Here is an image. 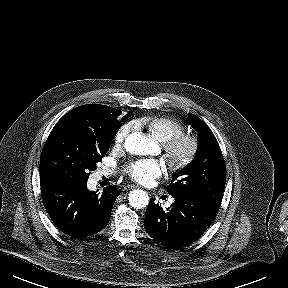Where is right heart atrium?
Returning a JSON list of instances; mask_svg holds the SVG:
<instances>
[{
	"instance_id": "1",
	"label": "right heart atrium",
	"mask_w": 288,
	"mask_h": 288,
	"mask_svg": "<svg viewBox=\"0 0 288 288\" xmlns=\"http://www.w3.org/2000/svg\"><path fill=\"white\" fill-rule=\"evenodd\" d=\"M131 129H132L131 124L122 125L115 134V137H114L115 144L118 146H121L124 143Z\"/></svg>"
}]
</instances>
